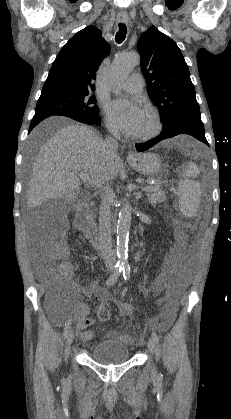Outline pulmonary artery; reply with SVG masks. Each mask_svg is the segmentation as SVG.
Instances as JSON below:
<instances>
[{
    "mask_svg": "<svg viewBox=\"0 0 231 419\" xmlns=\"http://www.w3.org/2000/svg\"><path fill=\"white\" fill-rule=\"evenodd\" d=\"M144 81L142 75L133 73L122 84L121 89L129 93H140L143 90Z\"/></svg>",
    "mask_w": 231,
    "mask_h": 419,
    "instance_id": "1",
    "label": "pulmonary artery"
}]
</instances>
